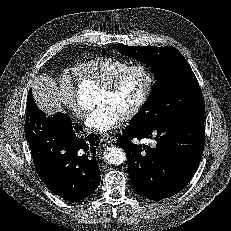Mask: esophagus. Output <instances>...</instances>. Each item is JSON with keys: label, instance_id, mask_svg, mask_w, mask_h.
I'll list each match as a JSON object with an SVG mask.
<instances>
[{"label": "esophagus", "instance_id": "esophagus-1", "mask_svg": "<svg viewBox=\"0 0 231 231\" xmlns=\"http://www.w3.org/2000/svg\"><path fill=\"white\" fill-rule=\"evenodd\" d=\"M101 141L105 144H113L115 143L116 138L114 136L106 134L102 137Z\"/></svg>", "mask_w": 231, "mask_h": 231}]
</instances>
